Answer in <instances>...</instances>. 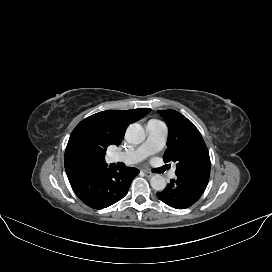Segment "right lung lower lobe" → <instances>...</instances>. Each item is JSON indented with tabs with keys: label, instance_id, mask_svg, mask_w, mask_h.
I'll list each match as a JSON object with an SVG mask.
<instances>
[{
	"label": "right lung lower lobe",
	"instance_id": "98d812e1",
	"mask_svg": "<svg viewBox=\"0 0 272 272\" xmlns=\"http://www.w3.org/2000/svg\"><path fill=\"white\" fill-rule=\"evenodd\" d=\"M138 173L137 168L120 169L111 164L96 172L70 178L69 182L84 204L102 209L122 199Z\"/></svg>",
	"mask_w": 272,
	"mask_h": 272
}]
</instances>
